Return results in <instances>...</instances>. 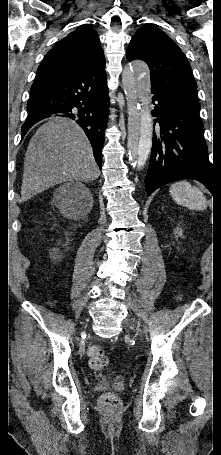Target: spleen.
Masks as SVG:
<instances>
[{"label":"spleen","instance_id":"3e777b00","mask_svg":"<svg viewBox=\"0 0 221 455\" xmlns=\"http://www.w3.org/2000/svg\"><path fill=\"white\" fill-rule=\"evenodd\" d=\"M170 195L174 201L191 210H205L207 201L204 194L187 181H178L170 186Z\"/></svg>","mask_w":221,"mask_h":455}]
</instances>
